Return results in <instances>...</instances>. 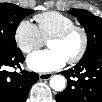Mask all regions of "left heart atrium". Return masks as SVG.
Returning a JSON list of instances; mask_svg holds the SVG:
<instances>
[{"mask_svg": "<svg viewBox=\"0 0 102 102\" xmlns=\"http://www.w3.org/2000/svg\"><path fill=\"white\" fill-rule=\"evenodd\" d=\"M27 63L32 70L48 73L63 68L66 60L55 50H42L31 53Z\"/></svg>", "mask_w": 102, "mask_h": 102, "instance_id": "obj_1", "label": "left heart atrium"}]
</instances>
